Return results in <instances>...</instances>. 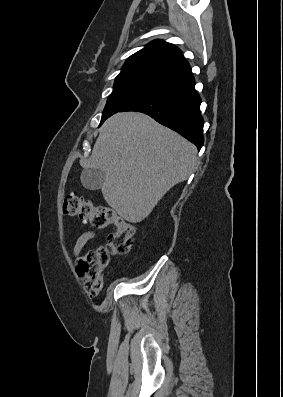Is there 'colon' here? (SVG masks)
<instances>
[{
  "mask_svg": "<svg viewBox=\"0 0 283 397\" xmlns=\"http://www.w3.org/2000/svg\"><path fill=\"white\" fill-rule=\"evenodd\" d=\"M63 213L77 216L88 221L97 228L113 225L115 230L110 233L103 246L85 253L79 260L77 271L84 280L86 291L97 295L103 288L102 271L115 255L125 254L133 245L134 227L131 223L117 215L110 207L94 205L89 200L69 194L64 198Z\"/></svg>",
  "mask_w": 283,
  "mask_h": 397,
  "instance_id": "colon-1",
  "label": "colon"
}]
</instances>
